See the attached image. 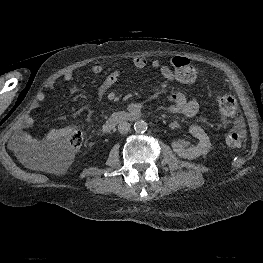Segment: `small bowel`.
Returning <instances> with one entry per match:
<instances>
[{
    "label": "small bowel",
    "mask_w": 263,
    "mask_h": 263,
    "mask_svg": "<svg viewBox=\"0 0 263 263\" xmlns=\"http://www.w3.org/2000/svg\"><path fill=\"white\" fill-rule=\"evenodd\" d=\"M133 67L138 70H142L148 66V62L144 57L137 56L133 59ZM150 68L157 71L163 78L167 80H175L174 72L170 65L164 64L158 60H153L149 64ZM91 72L93 74H100L103 72V67L100 64H95L91 67ZM121 76L120 71L114 70L110 72L104 79L100 91L101 93L107 92L111 89L116 82L119 80ZM73 76L71 73H65L63 75V80L65 82H71ZM53 84L50 85L52 87ZM71 92L73 94H77L78 90L76 88H72ZM45 99L44 93H39L37 95V101L41 102ZM169 104L166 106V110L172 114H181L187 117L195 116L199 111V104L196 100H188L184 93L178 91L170 93L166 96ZM204 123L209 124L208 120H203ZM33 124V119L30 116H26L22 123L23 131L19 135V140L36 150L42 149H55L63 145V142L66 140L70 132L73 130L71 127H62V128H55L52 129L45 137L37 138L33 137L29 133L25 131V129L29 128Z\"/></svg>",
    "instance_id": "1"
}]
</instances>
